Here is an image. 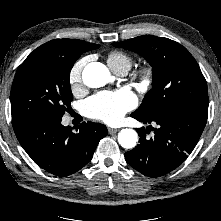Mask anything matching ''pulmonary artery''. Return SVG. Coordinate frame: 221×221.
<instances>
[{"instance_id":"1","label":"pulmonary artery","mask_w":221,"mask_h":221,"mask_svg":"<svg viewBox=\"0 0 221 221\" xmlns=\"http://www.w3.org/2000/svg\"><path fill=\"white\" fill-rule=\"evenodd\" d=\"M127 69L125 68H121V69H118L116 71H114L117 75H120V76H124L126 73H127Z\"/></svg>"}]
</instances>
